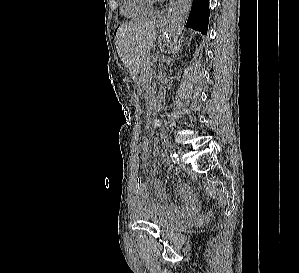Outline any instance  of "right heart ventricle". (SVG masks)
Returning a JSON list of instances; mask_svg holds the SVG:
<instances>
[{"label": "right heart ventricle", "instance_id": "right-heart-ventricle-1", "mask_svg": "<svg viewBox=\"0 0 299 273\" xmlns=\"http://www.w3.org/2000/svg\"><path fill=\"white\" fill-rule=\"evenodd\" d=\"M121 12L130 20H144L152 16L153 9L147 0H122Z\"/></svg>", "mask_w": 299, "mask_h": 273}]
</instances>
